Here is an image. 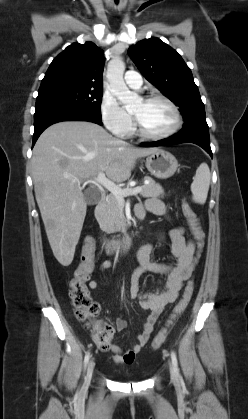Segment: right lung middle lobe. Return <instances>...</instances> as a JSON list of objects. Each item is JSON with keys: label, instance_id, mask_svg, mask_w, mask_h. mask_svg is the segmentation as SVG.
I'll list each match as a JSON object with an SVG mask.
<instances>
[{"label": "right lung middle lobe", "instance_id": "dd1d6c3e", "mask_svg": "<svg viewBox=\"0 0 248 419\" xmlns=\"http://www.w3.org/2000/svg\"><path fill=\"white\" fill-rule=\"evenodd\" d=\"M36 111L52 107H76L101 118L102 89L59 86L39 89Z\"/></svg>", "mask_w": 248, "mask_h": 419}]
</instances>
